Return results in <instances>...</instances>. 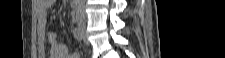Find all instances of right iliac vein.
I'll return each instance as SVG.
<instances>
[{
	"mask_svg": "<svg viewBox=\"0 0 225 58\" xmlns=\"http://www.w3.org/2000/svg\"><path fill=\"white\" fill-rule=\"evenodd\" d=\"M77 26L83 39H86V28L83 20H77Z\"/></svg>",
	"mask_w": 225,
	"mask_h": 58,
	"instance_id": "right-iliac-vein-1",
	"label": "right iliac vein"
}]
</instances>
